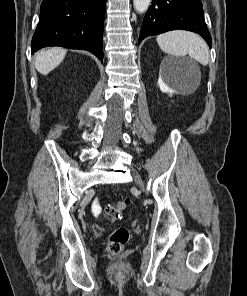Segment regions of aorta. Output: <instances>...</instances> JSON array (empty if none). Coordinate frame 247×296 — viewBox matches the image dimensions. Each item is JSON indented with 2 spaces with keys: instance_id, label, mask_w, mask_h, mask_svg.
Segmentation results:
<instances>
[{
  "instance_id": "aorta-1",
  "label": "aorta",
  "mask_w": 247,
  "mask_h": 296,
  "mask_svg": "<svg viewBox=\"0 0 247 296\" xmlns=\"http://www.w3.org/2000/svg\"><path fill=\"white\" fill-rule=\"evenodd\" d=\"M151 0H133V5L138 13H144L150 6Z\"/></svg>"
}]
</instances>
